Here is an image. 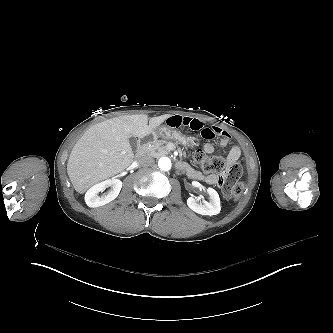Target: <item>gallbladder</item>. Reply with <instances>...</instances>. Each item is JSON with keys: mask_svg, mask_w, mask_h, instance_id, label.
<instances>
[{"mask_svg": "<svg viewBox=\"0 0 333 333\" xmlns=\"http://www.w3.org/2000/svg\"><path fill=\"white\" fill-rule=\"evenodd\" d=\"M129 143H130V145H131L132 150H133L134 152H136V151H137V139L134 138V137H131V138L129 139Z\"/></svg>", "mask_w": 333, "mask_h": 333, "instance_id": "bac80fb5", "label": "gallbladder"}]
</instances>
